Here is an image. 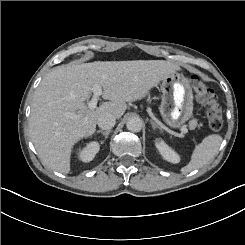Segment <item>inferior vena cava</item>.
I'll use <instances>...</instances> for the list:
<instances>
[{
    "label": "inferior vena cava",
    "instance_id": "602c4592",
    "mask_svg": "<svg viewBox=\"0 0 245 245\" xmlns=\"http://www.w3.org/2000/svg\"><path fill=\"white\" fill-rule=\"evenodd\" d=\"M98 126L102 129H110L115 124V116L112 113H102L97 119Z\"/></svg>",
    "mask_w": 245,
    "mask_h": 245
}]
</instances>
